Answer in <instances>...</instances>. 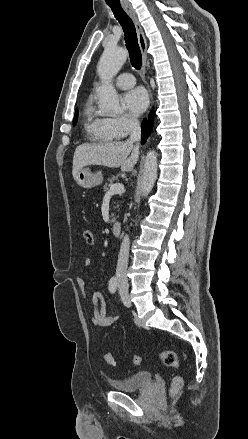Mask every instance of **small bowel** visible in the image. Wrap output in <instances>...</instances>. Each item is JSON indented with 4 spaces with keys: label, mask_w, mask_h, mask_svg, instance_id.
I'll list each match as a JSON object with an SVG mask.
<instances>
[{
    "label": "small bowel",
    "mask_w": 248,
    "mask_h": 439,
    "mask_svg": "<svg viewBox=\"0 0 248 439\" xmlns=\"http://www.w3.org/2000/svg\"><path fill=\"white\" fill-rule=\"evenodd\" d=\"M90 264L91 259H85L84 266L87 267ZM76 283L82 295H85V281L83 277L78 276L76 278ZM92 303L94 306V313L92 316V323L94 326L99 328L109 327L117 321V316L107 314L104 298L100 292H95L92 295Z\"/></svg>",
    "instance_id": "c3829d8e"
}]
</instances>
